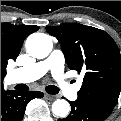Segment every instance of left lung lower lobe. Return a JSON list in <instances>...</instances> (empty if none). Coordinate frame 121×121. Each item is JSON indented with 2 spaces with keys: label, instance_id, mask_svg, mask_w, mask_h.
<instances>
[{
  "label": "left lung lower lobe",
  "instance_id": "obj_1",
  "mask_svg": "<svg viewBox=\"0 0 121 121\" xmlns=\"http://www.w3.org/2000/svg\"><path fill=\"white\" fill-rule=\"evenodd\" d=\"M71 113L58 121H104L109 115L86 105L80 99L70 101Z\"/></svg>",
  "mask_w": 121,
  "mask_h": 121
}]
</instances>
